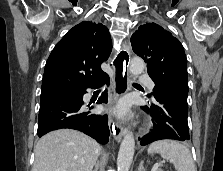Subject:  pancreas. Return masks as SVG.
<instances>
[{
	"mask_svg": "<svg viewBox=\"0 0 223 171\" xmlns=\"http://www.w3.org/2000/svg\"><path fill=\"white\" fill-rule=\"evenodd\" d=\"M158 171H163L162 169H158Z\"/></svg>",
	"mask_w": 223,
	"mask_h": 171,
	"instance_id": "cf45deb5",
	"label": "pancreas"
}]
</instances>
